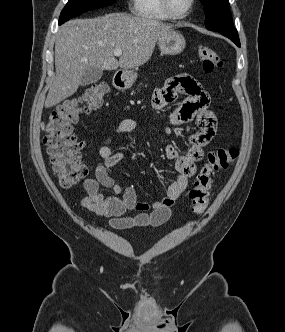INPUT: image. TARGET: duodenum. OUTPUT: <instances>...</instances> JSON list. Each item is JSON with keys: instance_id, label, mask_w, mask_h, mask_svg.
<instances>
[{"instance_id": "410a0bca", "label": "duodenum", "mask_w": 285, "mask_h": 332, "mask_svg": "<svg viewBox=\"0 0 285 332\" xmlns=\"http://www.w3.org/2000/svg\"><path fill=\"white\" fill-rule=\"evenodd\" d=\"M115 84L117 87L121 88L124 86L125 84V81H124V78L122 75L118 74L116 77H115Z\"/></svg>"}]
</instances>
